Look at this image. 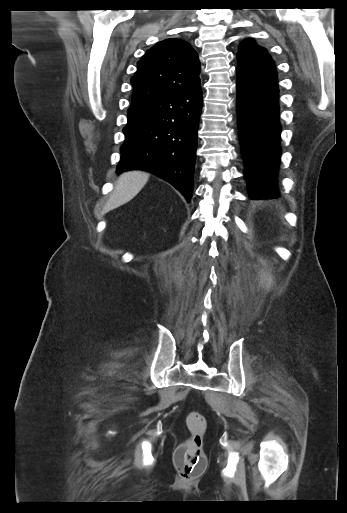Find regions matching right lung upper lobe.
I'll return each instance as SVG.
<instances>
[{"label": "right lung upper lobe", "instance_id": "1", "mask_svg": "<svg viewBox=\"0 0 347 513\" xmlns=\"http://www.w3.org/2000/svg\"><path fill=\"white\" fill-rule=\"evenodd\" d=\"M200 63L195 50L180 39H166L146 52L131 79L132 105L152 102L200 87Z\"/></svg>", "mask_w": 347, "mask_h": 513}]
</instances>
